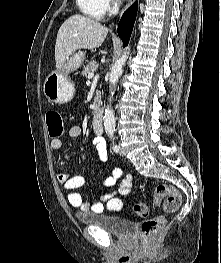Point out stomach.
<instances>
[{"mask_svg":"<svg viewBox=\"0 0 221 263\" xmlns=\"http://www.w3.org/2000/svg\"><path fill=\"white\" fill-rule=\"evenodd\" d=\"M84 60V53L74 54L62 69L52 71L45 79L43 91L46 98L52 103H67L75 93L74 83L68 78V73L79 68Z\"/></svg>","mask_w":221,"mask_h":263,"instance_id":"1","label":"stomach"}]
</instances>
